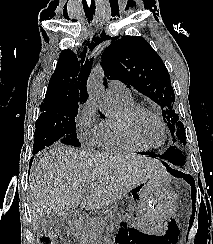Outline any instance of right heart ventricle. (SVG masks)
Instances as JSON below:
<instances>
[{"label":"right heart ventricle","instance_id":"1","mask_svg":"<svg viewBox=\"0 0 213 244\" xmlns=\"http://www.w3.org/2000/svg\"><path fill=\"white\" fill-rule=\"evenodd\" d=\"M116 100L120 104L122 110L136 106L133 99L127 101ZM96 145L115 152H138L144 150V148L130 142L123 135L118 125L117 118H107L102 121Z\"/></svg>","mask_w":213,"mask_h":244}]
</instances>
